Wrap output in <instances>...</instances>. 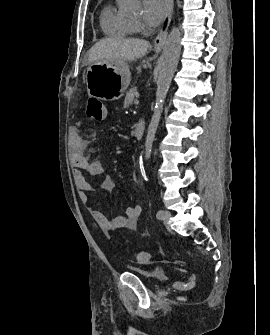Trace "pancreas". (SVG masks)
Listing matches in <instances>:
<instances>
[{
    "mask_svg": "<svg viewBox=\"0 0 270 335\" xmlns=\"http://www.w3.org/2000/svg\"><path fill=\"white\" fill-rule=\"evenodd\" d=\"M136 92H137V88H130L129 92H127L126 94L124 108H128V106H132Z\"/></svg>",
    "mask_w": 270,
    "mask_h": 335,
    "instance_id": "cf45deb5",
    "label": "pancreas"
}]
</instances>
